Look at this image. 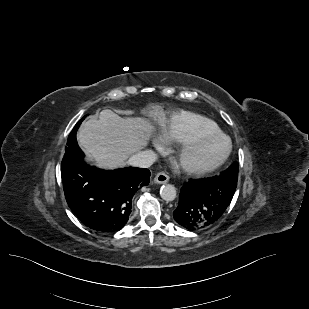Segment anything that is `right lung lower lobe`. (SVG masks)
<instances>
[{
	"label": "right lung lower lobe",
	"instance_id": "obj_1",
	"mask_svg": "<svg viewBox=\"0 0 309 309\" xmlns=\"http://www.w3.org/2000/svg\"><path fill=\"white\" fill-rule=\"evenodd\" d=\"M84 118L73 128L61 166L66 201L79 220L101 233L122 229L131 213L132 198L149 183L150 171L128 167L104 171L83 161L76 132Z\"/></svg>",
	"mask_w": 309,
	"mask_h": 309
}]
</instances>
